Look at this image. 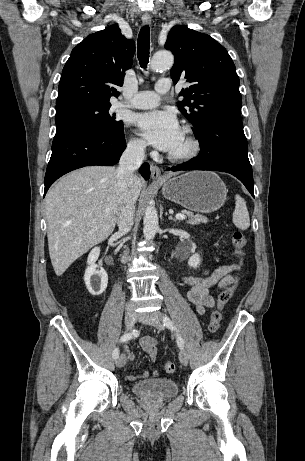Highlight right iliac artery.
<instances>
[{
	"label": "right iliac artery",
	"mask_w": 305,
	"mask_h": 461,
	"mask_svg": "<svg viewBox=\"0 0 305 461\" xmlns=\"http://www.w3.org/2000/svg\"><path fill=\"white\" fill-rule=\"evenodd\" d=\"M138 335V331L137 330H133L129 333H125L121 336L120 338V342H127L129 340H131L132 338L136 337ZM112 356L114 359H117L119 357V349L118 348H115L113 353H112Z\"/></svg>",
	"instance_id": "82829eb1"
}]
</instances>
